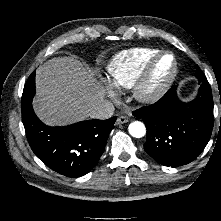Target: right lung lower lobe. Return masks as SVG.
Returning a JSON list of instances; mask_svg holds the SVG:
<instances>
[{"label": "right lung lower lobe", "mask_w": 221, "mask_h": 221, "mask_svg": "<svg viewBox=\"0 0 221 221\" xmlns=\"http://www.w3.org/2000/svg\"><path fill=\"white\" fill-rule=\"evenodd\" d=\"M35 71L28 78L22 95V120L28 142L37 157L52 170L79 177L88 173L104 152L116 117L88 120L65 127H48L35 115Z\"/></svg>", "instance_id": "right-lung-lower-lobe-1"}]
</instances>
